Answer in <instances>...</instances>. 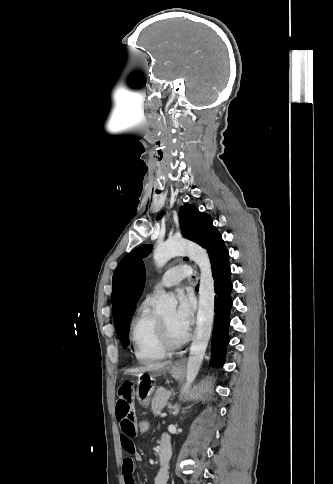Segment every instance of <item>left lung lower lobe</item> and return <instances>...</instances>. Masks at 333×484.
Here are the masks:
<instances>
[{
	"mask_svg": "<svg viewBox=\"0 0 333 484\" xmlns=\"http://www.w3.org/2000/svg\"><path fill=\"white\" fill-rule=\"evenodd\" d=\"M203 248L207 249L212 267L215 288V317L212 335V359L210 365L221 367L224 363L225 350L229 342L228 326L230 324V309L232 300L230 293L232 283L230 280L229 254L221 234L209 222L205 228Z\"/></svg>",
	"mask_w": 333,
	"mask_h": 484,
	"instance_id": "obj_1",
	"label": "left lung lower lobe"
}]
</instances>
